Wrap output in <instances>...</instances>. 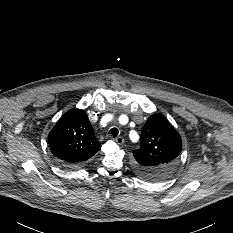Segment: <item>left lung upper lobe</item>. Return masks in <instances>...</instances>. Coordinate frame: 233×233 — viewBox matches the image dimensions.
Wrapping results in <instances>:
<instances>
[{
  "mask_svg": "<svg viewBox=\"0 0 233 233\" xmlns=\"http://www.w3.org/2000/svg\"><path fill=\"white\" fill-rule=\"evenodd\" d=\"M140 142V148L133 151L138 174L147 180H162L170 175L181 153L182 140L162 114L148 118Z\"/></svg>",
  "mask_w": 233,
  "mask_h": 233,
  "instance_id": "1",
  "label": "left lung upper lobe"
}]
</instances>
